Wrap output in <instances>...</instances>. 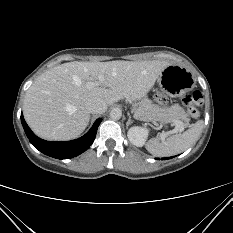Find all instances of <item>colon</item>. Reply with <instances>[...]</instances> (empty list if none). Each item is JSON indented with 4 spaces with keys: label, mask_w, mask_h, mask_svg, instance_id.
I'll list each match as a JSON object with an SVG mask.
<instances>
[{
    "label": "colon",
    "mask_w": 233,
    "mask_h": 233,
    "mask_svg": "<svg viewBox=\"0 0 233 233\" xmlns=\"http://www.w3.org/2000/svg\"><path fill=\"white\" fill-rule=\"evenodd\" d=\"M158 101L162 104L166 102L164 97H159ZM183 103L187 107L189 113L193 118H198L199 111L198 107L203 103V95L200 91H193L188 93L183 98Z\"/></svg>",
    "instance_id": "colon-1"
}]
</instances>
